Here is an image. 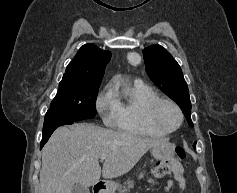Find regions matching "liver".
<instances>
[{"label": "liver", "instance_id": "1", "mask_svg": "<svg viewBox=\"0 0 237 193\" xmlns=\"http://www.w3.org/2000/svg\"><path fill=\"white\" fill-rule=\"evenodd\" d=\"M161 141L94 124L60 127L42 150L40 193H71L75 184L87 188L96 184L101 174L105 179L126 174ZM102 154L107 157L101 170Z\"/></svg>", "mask_w": 237, "mask_h": 193}]
</instances>
